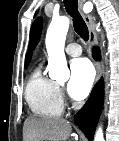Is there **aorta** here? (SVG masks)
Here are the masks:
<instances>
[{"label":"aorta","instance_id":"1","mask_svg":"<svg viewBox=\"0 0 119 141\" xmlns=\"http://www.w3.org/2000/svg\"><path fill=\"white\" fill-rule=\"evenodd\" d=\"M69 18L66 16L53 18L46 34L49 77L57 81H66L70 76L64 53L66 35L69 29ZM94 141H104L103 131L98 128Z\"/></svg>","mask_w":119,"mask_h":141}]
</instances>
